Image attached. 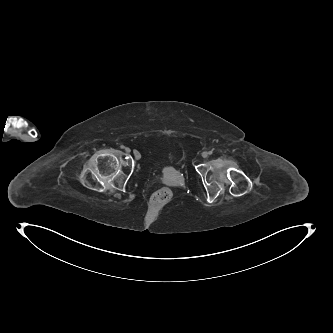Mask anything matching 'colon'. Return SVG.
I'll use <instances>...</instances> for the list:
<instances>
[{"label":"colon","instance_id":"colon-1","mask_svg":"<svg viewBox=\"0 0 333 333\" xmlns=\"http://www.w3.org/2000/svg\"><path fill=\"white\" fill-rule=\"evenodd\" d=\"M172 197H173L172 191L167 187H163L157 190L155 193H153L150 199V204L155 209H162L163 207H165L167 204L170 203Z\"/></svg>","mask_w":333,"mask_h":333}]
</instances>
